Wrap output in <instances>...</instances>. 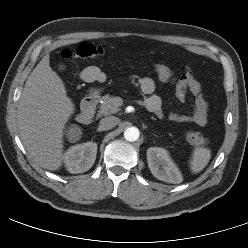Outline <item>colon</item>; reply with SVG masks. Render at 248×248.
Instances as JSON below:
<instances>
[{"label": "colon", "instance_id": "obj_1", "mask_svg": "<svg viewBox=\"0 0 248 248\" xmlns=\"http://www.w3.org/2000/svg\"><path fill=\"white\" fill-rule=\"evenodd\" d=\"M105 50L101 46H95L89 43H81L76 49H65L62 51V57L65 59H98L103 56ZM151 71L164 83H172L177 78L176 72L168 65L155 63L150 67ZM187 140L195 146H202L207 143V139L196 131L187 133Z\"/></svg>", "mask_w": 248, "mask_h": 248}]
</instances>
